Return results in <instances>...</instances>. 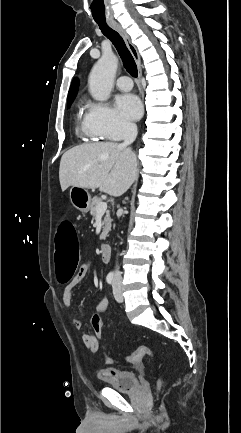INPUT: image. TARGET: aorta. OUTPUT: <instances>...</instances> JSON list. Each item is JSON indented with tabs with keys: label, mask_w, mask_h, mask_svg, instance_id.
Segmentation results:
<instances>
[{
	"label": "aorta",
	"mask_w": 241,
	"mask_h": 433,
	"mask_svg": "<svg viewBox=\"0 0 241 433\" xmlns=\"http://www.w3.org/2000/svg\"><path fill=\"white\" fill-rule=\"evenodd\" d=\"M117 66L118 58L113 53L103 54L94 65L89 76V91L95 100L108 99L113 88Z\"/></svg>",
	"instance_id": "obj_1"
}]
</instances>
